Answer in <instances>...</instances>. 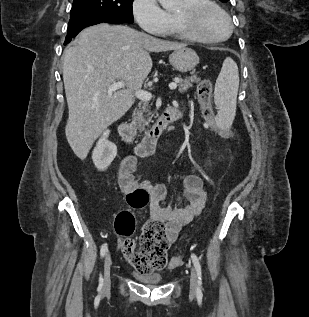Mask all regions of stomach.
Segmentation results:
<instances>
[{
  "label": "stomach",
  "instance_id": "1",
  "mask_svg": "<svg viewBox=\"0 0 309 317\" xmlns=\"http://www.w3.org/2000/svg\"><path fill=\"white\" fill-rule=\"evenodd\" d=\"M169 61L175 70L185 73L196 67L199 63V57L193 49L184 47L174 50L169 57Z\"/></svg>",
  "mask_w": 309,
  "mask_h": 317
}]
</instances>
